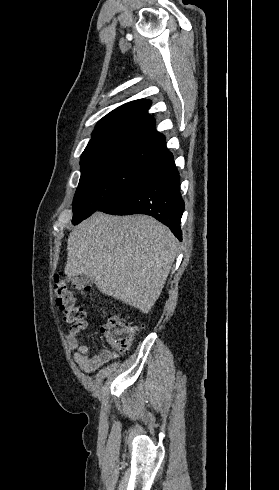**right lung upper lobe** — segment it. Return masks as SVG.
Masks as SVG:
<instances>
[{"instance_id":"cb5924a9","label":"right lung upper lobe","mask_w":279,"mask_h":490,"mask_svg":"<svg viewBox=\"0 0 279 490\" xmlns=\"http://www.w3.org/2000/svg\"><path fill=\"white\" fill-rule=\"evenodd\" d=\"M150 105L149 100H135L103 117L82 153L81 167L111 160L157 164L169 156L165 136L147 112Z\"/></svg>"}]
</instances>
